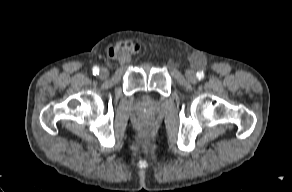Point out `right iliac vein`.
<instances>
[{"label":"right iliac vein","mask_w":292,"mask_h":192,"mask_svg":"<svg viewBox=\"0 0 292 192\" xmlns=\"http://www.w3.org/2000/svg\"><path fill=\"white\" fill-rule=\"evenodd\" d=\"M108 75H109V72H108L107 69H101L100 74H99V76H100L101 79L107 78Z\"/></svg>","instance_id":"right-iliac-vein-1"}]
</instances>
